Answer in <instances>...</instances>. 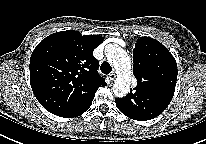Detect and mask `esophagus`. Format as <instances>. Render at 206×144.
Returning a JSON list of instances; mask_svg holds the SVG:
<instances>
[{"label":"esophagus","instance_id":"34e87169","mask_svg":"<svg viewBox=\"0 0 206 144\" xmlns=\"http://www.w3.org/2000/svg\"><path fill=\"white\" fill-rule=\"evenodd\" d=\"M115 78H116L115 72H112V73L109 74V79H110V81H114Z\"/></svg>","mask_w":206,"mask_h":144}]
</instances>
